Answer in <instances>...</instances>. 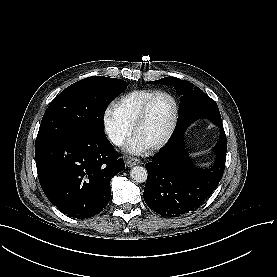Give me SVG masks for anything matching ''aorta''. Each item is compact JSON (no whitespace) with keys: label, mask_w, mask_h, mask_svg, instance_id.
<instances>
[{"label":"aorta","mask_w":277,"mask_h":277,"mask_svg":"<svg viewBox=\"0 0 277 277\" xmlns=\"http://www.w3.org/2000/svg\"><path fill=\"white\" fill-rule=\"evenodd\" d=\"M130 176L136 183H143L147 180L148 173L144 167L135 166L131 169Z\"/></svg>","instance_id":"aorta-1"}]
</instances>
